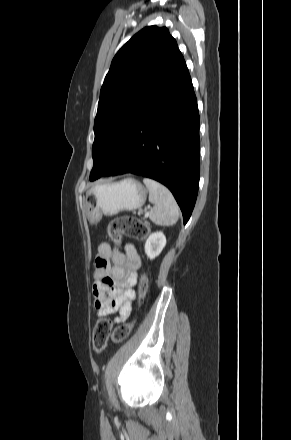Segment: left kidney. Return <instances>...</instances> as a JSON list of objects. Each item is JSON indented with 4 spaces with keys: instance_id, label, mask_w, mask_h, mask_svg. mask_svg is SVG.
<instances>
[{
    "instance_id": "5707ae66",
    "label": "left kidney",
    "mask_w": 291,
    "mask_h": 440,
    "mask_svg": "<svg viewBox=\"0 0 291 440\" xmlns=\"http://www.w3.org/2000/svg\"><path fill=\"white\" fill-rule=\"evenodd\" d=\"M166 245V237L163 232L152 233L145 243V253L150 259H154L162 252Z\"/></svg>"
}]
</instances>
